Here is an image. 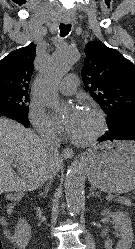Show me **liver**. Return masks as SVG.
Returning <instances> with one entry per match:
<instances>
[{
    "mask_svg": "<svg viewBox=\"0 0 135 249\" xmlns=\"http://www.w3.org/2000/svg\"><path fill=\"white\" fill-rule=\"evenodd\" d=\"M50 164L56 172L60 170L59 154L50 153L42 139L31 130L0 117V195L38 188ZM13 166L18 168L19 175Z\"/></svg>",
    "mask_w": 135,
    "mask_h": 249,
    "instance_id": "6515ba94",
    "label": "liver"
}]
</instances>
